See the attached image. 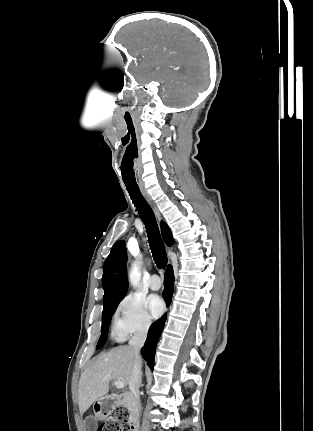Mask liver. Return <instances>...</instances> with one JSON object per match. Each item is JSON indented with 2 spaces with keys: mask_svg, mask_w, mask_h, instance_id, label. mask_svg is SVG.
Masks as SVG:
<instances>
[{
  "mask_svg": "<svg viewBox=\"0 0 313 431\" xmlns=\"http://www.w3.org/2000/svg\"><path fill=\"white\" fill-rule=\"evenodd\" d=\"M132 368L133 352L130 346H118L100 354L79 380L80 413H85L94 402L107 398L111 380L122 381L128 385Z\"/></svg>",
  "mask_w": 313,
  "mask_h": 431,
  "instance_id": "6515ba94",
  "label": "liver"
}]
</instances>
